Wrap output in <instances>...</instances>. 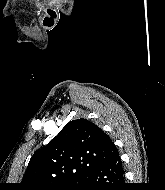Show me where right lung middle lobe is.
I'll return each mask as SVG.
<instances>
[{
    "label": "right lung middle lobe",
    "mask_w": 165,
    "mask_h": 190,
    "mask_svg": "<svg viewBox=\"0 0 165 190\" xmlns=\"http://www.w3.org/2000/svg\"><path fill=\"white\" fill-rule=\"evenodd\" d=\"M81 186V181L79 183H73L64 187L55 188L54 190H79Z\"/></svg>",
    "instance_id": "obj_1"
}]
</instances>
